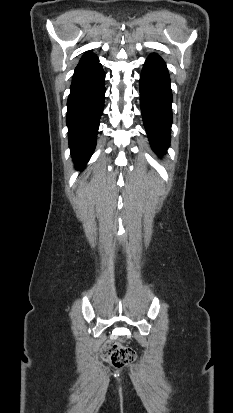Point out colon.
Instances as JSON below:
<instances>
[{"label": "colon", "mask_w": 233, "mask_h": 413, "mask_svg": "<svg viewBox=\"0 0 233 413\" xmlns=\"http://www.w3.org/2000/svg\"><path fill=\"white\" fill-rule=\"evenodd\" d=\"M101 353L104 359L116 368L128 365L136 358L133 349L116 341L106 342L102 347Z\"/></svg>", "instance_id": "colon-1"}]
</instances>
